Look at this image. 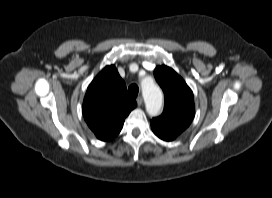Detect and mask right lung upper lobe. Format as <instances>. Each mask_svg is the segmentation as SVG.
Masks as SVG:
<instances>
[{
  "label": "right lung upper lobe",
  "instance_id": "cb5924a9",
  "mask_svg": "<svg viewBox=\"0 0 272 198\" xmlns=\"http://www.w3.org/2000/svg\"><path fill=\"white\" fill-rule=\"evenodd\" d=\"M115 66H106L89 85L82 112L89 128L102 141L114 139L125 118L136 107Z\"/></svg>",
  "mask_w": 272,
  "mask_h": 198
}]
</instances>
